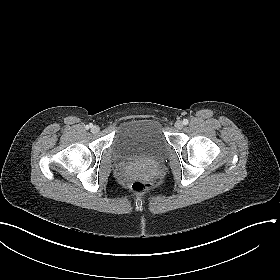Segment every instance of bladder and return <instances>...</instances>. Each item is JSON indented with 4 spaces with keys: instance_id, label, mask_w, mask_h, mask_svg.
<instances>
[{
    "instance_id": "1",
    "label": "bladder",
    "mask_w": 280,
    "mask_h": 280,
    "mask_svg": "<svg viewBox=\"0 0 280 280\" xmlns=\"http://www.w3.org/2000/svg\"><path fill=\"white\" fill-rule=\"evenodd\" d=\"M166 146L162 124L154 118H135L122 122L112 144L114 154L119 159L159 158Z\"/></svg>"
}]
</instances>
